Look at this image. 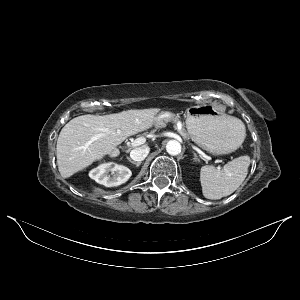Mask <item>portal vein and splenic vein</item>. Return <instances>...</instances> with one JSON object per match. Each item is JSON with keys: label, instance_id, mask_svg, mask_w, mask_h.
Instances as JSON below:
<instances>
[{"label": "portal vein and splenic vein", "instance_id": "18ae733b", "mask_svg": "<svg viewBox=\"0 0 300 300\" xmlns=\"http://www.w3.org/2000/svg\"><path fill=\"white\" fill-rule=\"evenodd\" d=\"M182 134V133H181ZM183 135V134H182ZM146 142V138L145 137H138L137 139H135L132 143L131 146L132 147H137L140 146L142 144H144Z\"/></svg>", "mask_w": 300, "mask_h": 300}]
</instances>
